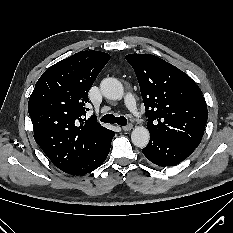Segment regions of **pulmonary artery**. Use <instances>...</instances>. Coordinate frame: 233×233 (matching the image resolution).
<instances>
[{
	"label": "pulmonary artery",
	"instance_id": "1",
	"mask_svg": "<svg viewBox=\"0 0 233 233\" xmlns=\"http://www.w3.org/2000/svg\"><path fill=\"white\" fill-rule=\"evenodd\" d=\"M126 105L128 106L129 109H131L135 115L138 114V108H137V103L133 95L127 94L125 98Z\"/></svg>",
	"mask_w": 233,
	"mask_h": 233
}]
</instances>
